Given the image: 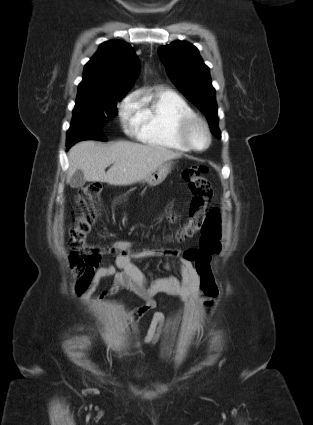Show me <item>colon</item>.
I'll use <instances>...</instances> for the list:
<instances>
[{
  "label": "colon",
  "instance_id": "obj_1",
  "mask_svg": "<svg viewBox=\"0 0 313 425\" xmlns=\"http://www.w3.org/2000/svg\"><path fill=\"white\" fill-rule=\"evenodd\" d=\"M208 171L204 165H193L182 171L193 196L187 221L176 231L175 239L184 241L198 231L201 232L198 248L184 251V257L192 262L200 277V289L203 296L214 299L219 290L211 267V254L221 249V218L216 210L208 211L207 203L213 195L210 180L205 176ZM101 186L88 184L79 192L80 214L74 221L70 233V261L75 273L82 277L91 271L102 255L115 253L113 248L88 243L87 238L99 213Z\"/></svg>",
  "mask_w": 313,
  "mask_h": 425
}]
</instances>
